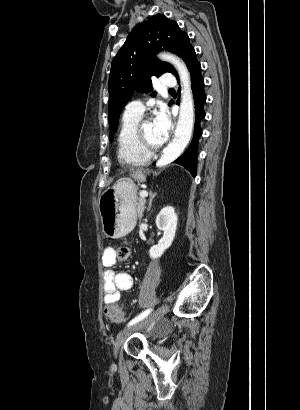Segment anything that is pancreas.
<instances>
[{
    "mask_svg": "<svg viewBox=\"0 0 300 410\" xmlns=\"http://www.w3.org/2000/svg\"><path fill=\"white\" fill-rule=\"evenodd\" d=\"M136 204H137L138 217L141 218L144 212L146 200L143 198H137Z\"/></svg>",
    "mask_w": 300,
    "mask_h": 410,
    "instance_id": "cf45deb5",
    "label": "pancreas"
}]
</instances>
